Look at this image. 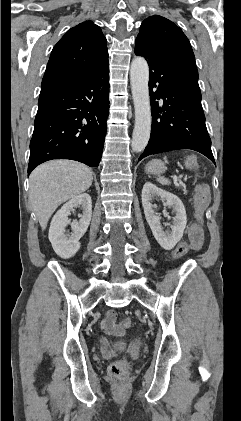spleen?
Listing matches in <instances>:
<instances>
[{"label": "spleen", "instance_id": "1", "mask_svg": "<svg viewBox=\"0 0 241 421\" xmlns=\"http://www.w3.org/2000/svg\"><path fill=\"white\" fill-rule=\"evenodd\" d=\"M157 181L159 183L163 184V185H169L170 184V181L168 179H166V178H163V177L157 178Z\"/></svg>", "mask_w": 241, "mask_h": 421}]
</instances>
